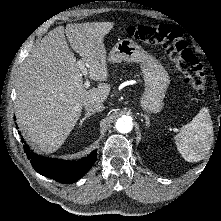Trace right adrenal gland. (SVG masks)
Masks as SVG:
<instances>
[{
  "label": "right adrenal gland",
  "mask_w": 221,
  "mask_h": 221,
  "mask_svg": "<svg viewBox=\"0 0 221 221\" xmlns=\"http://www.w3.org/2000/svg\"><path fill=\"white\" fill-rule=\"evenodd\" d=\"M91 115H94V113L92 112H87L85 115H84V117L80 120V123H79V125L80 126H82V124H83V122L89 117V116H91Z\"/></svg>",
  "instance_id": "1"
}]
</instances>
